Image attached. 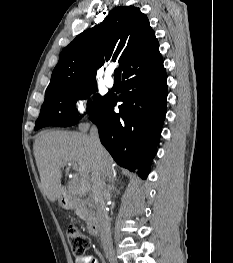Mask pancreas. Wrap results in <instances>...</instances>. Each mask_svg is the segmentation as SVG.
I'll list each match as a JSON object with an SVG mask.
<instances>
[{"mask_svg":"<svg viewBox=\"0 0 233 263\" xmlns=\"http://www.w3.org/2000/svg\"><path fill=\"white\" fill-rule=\"evenodd\" d=\"M75 213L77 216H79L82 220H84L88 225H91L94 217L92 211L83 206V205H77L75 207Z\"/></svg>","mask_w":233,"mask_h":263,"instance_id":"obj_1","label":"pancreas"}]
</instances>
